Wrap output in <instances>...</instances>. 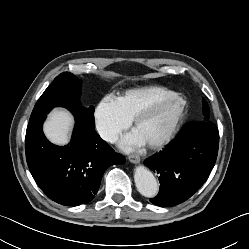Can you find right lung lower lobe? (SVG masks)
<instances>
[{"label":"right lung lower lobe","mask_w":249,"mask_h":249,"mask_svg":"<svg viewBox=\"0 0 249 249\" xmlns=\"http://www.w3.org/2000/svg\"><path fill=\"white\" fill-rule=\"evenodd\" d=\"M42 116L29 122L25 149L30 172L53 201L67 206L86 204L97 193L102 175L112 165L125 162L94 127L75 118L71 142L64 147L52 144L45 137Z\"/></svg>","instance_id":"obj_1"}]
</instances>
